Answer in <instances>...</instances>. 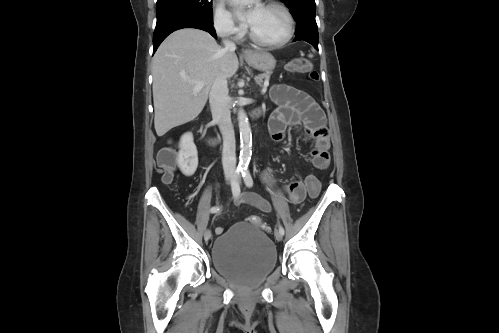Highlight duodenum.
Returning <instances> with one entry per match:
<instances>
[{
  "mask_svg": "<svg viewBox=\"0 0 499 333\" xmlns=\"http://www.w3.org/2000/svg\"><path fill=\"white\" fill-rule=\"evenodd\" d=\"M250 116L253 118V119H257L259 117L262 116V110L260 109H254V110H251L250 111Z\"/></svg>",
  "mask_w": 499,
  "mask_h": 333,
  "instance_id": "1",
  "label": "duodenum"
}]
</instances>
